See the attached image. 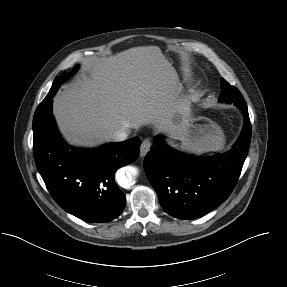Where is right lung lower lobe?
Wrapping results in <instances>:
<instances>
[{
    "label": "right lung lower lobe",
    "instance_id": "98d812e1",
    "mask_svg": "<svg viewBox=\"0 0 287 287\" xmlns=\"http://www.w3.org/2000/svg\"><path fill=\"white\" fill-rule=\"evenodd\" d=\"M53 96L45 97L33 118L37 169L66 212L87 222H109L126 204L125 194L115 183V172L137 159L141 140L134 137L96 149L71 147L60 136L52 116Z\"/></svg>",
    "mask_w": 287,
    "mask_h": 287
}]
</instances>
